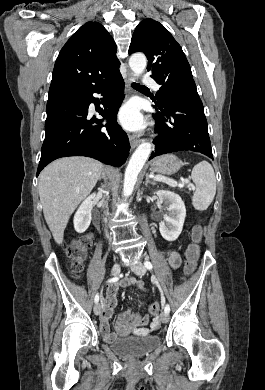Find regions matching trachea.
Wrapping results in <instances>:
<instances>
[{"mask_svg":"<svg viewBox=\"0 0 265 390\" xmlns=\"http://www.w3.org/2000/svg\"><path fill=\"white\" fill-rule=\"evenodd\" d=\"M131 85H132L133 88H146L145 86L140 85L138 83H132Z\"/></svg>","mask_w":265,"mask_h":390,"instance_id":"3493384b","label":"trachea"}]
</instances>
